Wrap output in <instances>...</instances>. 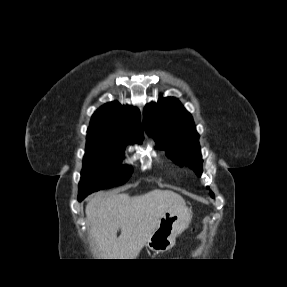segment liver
Segmentation results:
<instances>
[{
    "label": "liver",
    "mask_w": 287,
    "mask_h": 287,
    "mask_svg": "<svg viewBox=\"0 0 287 287\" xmlns=\"http://www.w3.org/2000/svg\"><path fill=\"white\" fill-rule=\"evenodd\" d=\"M185 204L170 190L155 189L138 196L99 193L86 205L89 234L101 259H135L171 207ZM121 230L117 237V231Z\"/></svg>",
    "instance_id": "obj_1"
}]
</instances>
